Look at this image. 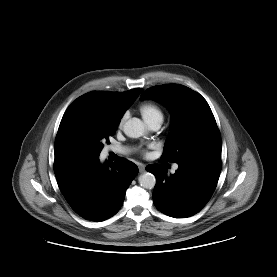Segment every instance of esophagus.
I'll return each mask as SVG.
<instances>
[{
  "label": "esophagus",
  "instance_id": "obj_1",
  "mask_svg": "<svg viewBox=\"0 0 277 277\" xmlns=\"http://www.w3.org/2000/svg\"><path fill=\"white\" fill-rule=\"evenodd\" d=\"M145 165L144 164H139V171L141 172V173H143V172H145Z\"/></svg>",
  "mask_w": 277,
  "mask_h": 277
}]
</instances>
